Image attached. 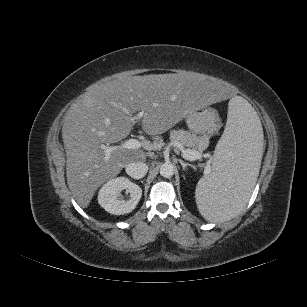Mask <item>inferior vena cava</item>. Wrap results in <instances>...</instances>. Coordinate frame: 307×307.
Here are the masks:
<instances>
[{"label": "inferior vena cava", "instance_id": "obj_1", "mask_svg": "<svg viewBox=\"0 0 307 307\" xmlns=\"http://www.w3.org/2000/svg\"><path fill=\"white\" fill-rule=\"evenodd\" d=\"M148 172V166L143 162H132L126 165V173L134 178L141 179Z\"/></svg>", "mask_w": 307, "mask_h": 307}]
</instances>
